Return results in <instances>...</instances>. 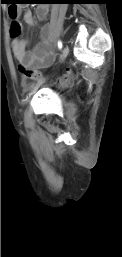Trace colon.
Wrapping results in <instances>:
<instances>
[{
  "instance_id": "5ec220e1",
  "label": "colon",
  "mask_w": 122,
  "mask_h": 257,
  "mask_svg": "<svg viewBox=\"0 0 122 257\" xmlns=\"http://www.w3.org/2000/svg\"><path fill=\"white\" fill-rule=\"evenodd\" d=\"M6 10H9V17L11 19V26H10V35L12 38H18L21 35L22 32V25L21 22L18 20V5H6ZM20 71L24 77V79L27 80H40L41 74L39 71L33 68L20 66ZM76 78V75L71 74H65L58 80L59 85H63L66 82H68L70 79Z\"/></svg>"
}]
</instances>
